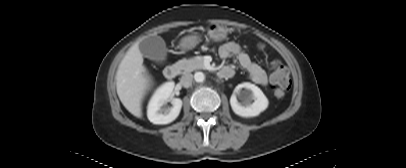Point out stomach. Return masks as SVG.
Listing matches in <instances>:
<instances>
[{
	"label": "stomach",
	"instance_id": "0dacf381",
	"mask_svg": "<svg viewBox=\"0 0 406 168\" xmlns=\"http://www.w3.org/2000/svg\"><path fill=\"white\" fill-rule=\"evenodd\" d=\"M208 35L215 41H222L227 37V28L220 24H210L207 28ZM200 42V36L197 33L185 36L181 42L180 46L189 50L194 48Z\"/></svg>",
	"mask_w": 406,
	"mask_h": 168
}]
</instances>
